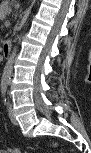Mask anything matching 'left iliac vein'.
<instances>
[{
    "mask_svg": "<svg viewBox=\"0 0 91 153\" xmlns=\"http://www.w3.org/2000/svg\"><path fill=\"white\" fill-rule=\"evenodd\" d=\"M8 112H9V117H10L11 122H12L14 125H17L18 122H17V120H16V118H15V115H14V112H13V109H12L11 106H9Z\"/></svg>",
    "mask_w": 91,
    "mask_h": 153,
    "instance_id": "left-iliac-vein-1",
    "label": "left iliac vein"
}]
</instances>
